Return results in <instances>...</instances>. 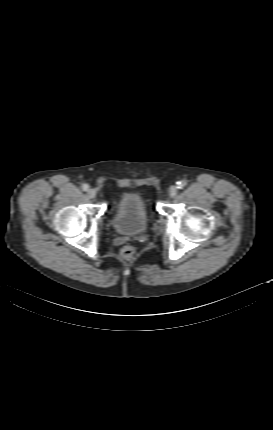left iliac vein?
<instances>
[{
    "mask_svg": "<svg viewBox=\"0 0 273 430\" xmlns=\"http://www.w3.org/2000/svg\"><path fill=\"white\" fill-rule=\"evenodd\" d=\"M176 194H177V187H175V186H171V187L169 188V195H170L171 197H175V196H176Z\"/></svg>",
    "mask_w": 273,
    "mask_h": 430,
    "instance_id": "1",
    "label": "left iliac vein"
}]
</instances>
